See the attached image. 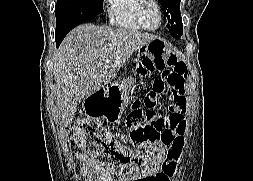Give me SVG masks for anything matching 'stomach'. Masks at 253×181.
<instances>
[{
  "mask_svg": "<svg viewBox=\"0 0 253 181\" xmlns=\"http://www.w3.org/2000/svg\"><path fill=\"white\" fill-rule=\"evenodd\" d=\"M125 91L126 82L123 81L92 93L83 100L85 114L94 119L104 118L111 122H119L125 109Z\"/></svg>",
  "mask_w": 253,
  "mask_h": 181,
  "instance_id": "0dacf381",
  "label": "stomach"
}]
</instances>
